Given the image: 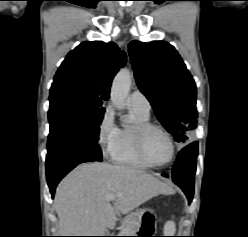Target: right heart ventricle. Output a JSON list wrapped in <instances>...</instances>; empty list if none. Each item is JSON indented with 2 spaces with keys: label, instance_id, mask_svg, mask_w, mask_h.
Wrapping results in <instances>:
<instances>
[{
  "label": "right heart ventricle",
  "instance_id": "e07e8e85",
  "mask_svg": "<svg viewBox=\"0 0 248 237\" xmlns=\"http://www.w3.org/2000/svg\"><path fill=\"white\" fill-rule=\"evenodd\" d=\"M131 110L135 116L136 122L131 127H123L119 129L118 145L112 156V161L121 165L146 169L150 166L147 165L137 154L133 140V130L137 124L149 122L150 113H145L133 107H131Z\"/></svg>",
  "mask_w": 248,
  "mask_h": 237
}]
</instances>
